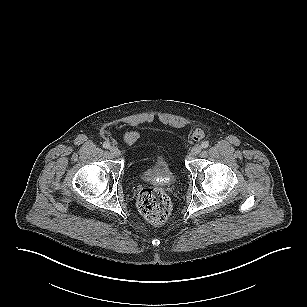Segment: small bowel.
Wrapping results in <instances>:
<instances>
[{
  "mask_svg": "<svg viewBox=\"0 0 307 307\" xmlns=\"http://www.w3.org/2000/svg\"><path fill=\"white\" fill-rule=\"evenodd\" d=\"M124 142L126 144H134L139 139V134L136 131H128L123 136Z\"/></svg>",
  "mask_w": 307,
  "mask_h": 307,
  "instance_id": "c3829d8e",
  "label": "small bowel"
}]
</instances>
